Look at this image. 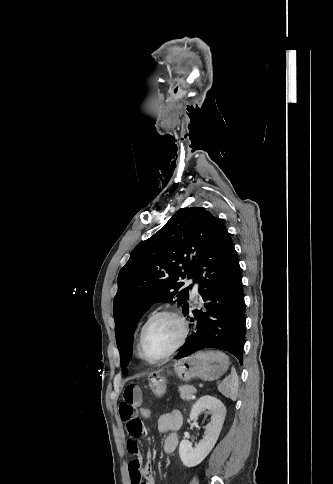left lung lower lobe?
I'll list each match as a JSON object with an SVG mask.
<instances>
[{
	"label": "left lung lower lobe",
	"mask_w": 333,
	"mask_h": 484,
	"mask_svg": "<svg viewBox=\"0 0 333 484\" xmlns=\"http://www.w3.org/2000/svg\"><path fill=\"white\" fill-rule=\"evenodd\" d=\"M190 278H198L204 308L183 306L193 322V333L175 356L186 357L203 348L228 351L242 364L245 303L239 260L230 234L213 219L195 259Z\"/></svg>",
	"instance_id": "obj_1"
}]
</instances>
